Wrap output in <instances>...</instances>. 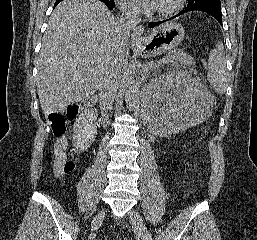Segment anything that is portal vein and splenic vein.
<instances>
[{
    "instance_id": "obj_1",
    "label": "portal vein and splenic vein",
    "mask_w": 257,
    "mask_h": 240,
    "mask_svg": "<svg viewBox=\"0 0 257 240\" xmlns=\"http://www.w3.org/2000/svg\"><path fill=\"white\" fill-rule=\"evenodd\" d=\"M151 67H152V62L147 63L146 65H144L143 70L148 71Z\"/></svg>"
}]
</instances>
